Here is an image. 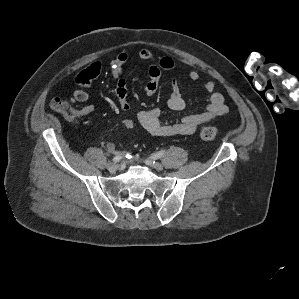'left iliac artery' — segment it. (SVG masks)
<instances>
[{
    "label": "left iliac artery",
    "mask_w": 299,
    "mask_h": 299,
    "mask_svg": "<svg viewBox=\"0 0 299 299\" xmlns=\"http://www.w3.org/2000/svg\"><path fill=\"white\" fill-rule=\"evenodd\" d=\"M164 154H165V150H161V151H159V152L153 154V155H152V158H153V159H159V158L163 157Z\"/></svg>",
    "instance_id": "left-iliac-artery-1"
}]
</instances>
